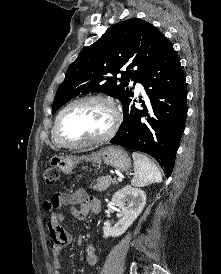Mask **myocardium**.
<instances>
[{
	"label": "myocardium",
	"mask_w": 221,
	"mask_h": 274,
	"mask_svg": "<svg viewBox=\"0 0 221 274\" xmlns=\"http://www.w3.org/2000/svg\"><path fill=\"white\" fill-rule=\"evenodd\" d=\"M85 102H98V103L106 105L111 111V115H112L111 125L104 134H102L98 137L91 138L88 140H82V141H69V140L65 139L61 133L62 118L70 108H72L75 105L85 103ZM120 123H121V113H120V110H119L117 104L112 99H110L108 97L101 96V95H91V96H84V97L77 98V99L71 101L70 103H68L59 112V114L55 120L54 130H55V136L62 146L69 147V148H79V147H85V146H89V145L102 143V142H105V141L111 139L114 136V134L117 132V130L120 126Z\"/></svg>",
	"instance_id": "myocardium-1"
}]
</instances>
